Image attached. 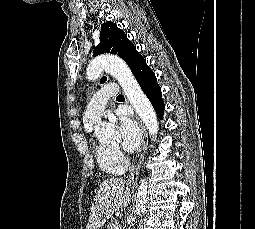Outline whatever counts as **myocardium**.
I'll return each instance as SVG.
<instances>
[{"mask_svg":"<svg viewBox=\"0 0 255 229\" xmlns=\"http://www.w3.org/2000/svg\"><path fill=\"white\" fill-rule=\"evenodd\" d=\"M114 150H116L117 148L116 147H112Z\"/></svg>","mask_w":255,"mask_h":229,"instance_id":"myocardium-1","label":"myocardium"}]
</instances>
